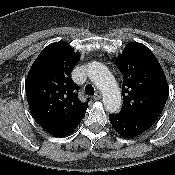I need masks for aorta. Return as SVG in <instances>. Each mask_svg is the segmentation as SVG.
<instances>
[{
    "instance_id": "aorta-1",
    "label": "aorta",
    "mask_w": 175,
    "mask_h": 175,
    "mask_svg": "<svg viewBox=\"0 0 175 175\" xmlns=\"http://www.w3.org/2000/svg\"><path fill=\"white\" fill-rule=\"evenodd\" d=\"M88 76L103 94V104L110 113H116L121 107V93L119 87L107 69L99 62H92L89 65Z\"/></svg>"
}]
</instances>
